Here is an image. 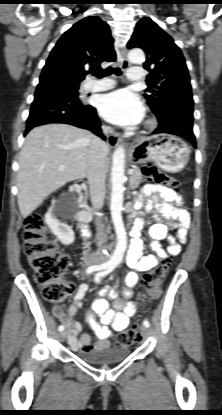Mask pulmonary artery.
<instances>
[{"label": "pulmonary artery", "instance_id": "1", "mask_svg": "<svg viewBox=\"0 0 222 415\" xmlns=\"http://www.w3.org/2000/svg\"><path fill=\"white\" fill-rule=\"evenodd\" d=\"M143 76V70L141 67L134 66L128 70L127 77L131 82L141 81ZM114 86V82L111 80H102L99 82H86L82 86L84 92H99L110 89Z\"/></svg>", "mask_w": 222, "mask_h": 415}]
</instances>
